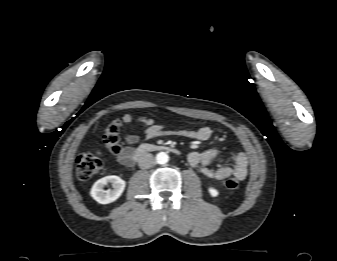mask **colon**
I'll list each match as a JSON object with an SVG mask.
<instances>
[{
  "label": "colon",
  "instance_id": "1",
  "mask_svg": "<svg viewBox=\"0 0 337 261\" xmlns=\"http://www.w3.org/2000/svg\"><path fill=\"white\" fill-rule=\"evenodd\" d=\"M120 126L119 120L112 121L105 129L104 142L111 154L118 155L121 153L120 142ZM103 159L99 153L82 152L76 160V175L80 180H88L98 174L103 168ZM225 186L228 189L234 190L239 187V182L236 178L230 177L226 179Z\"/></svg>",
  "mask_w": 337,
  "mask_h": 261
}]
</instances>
